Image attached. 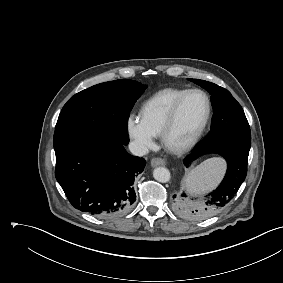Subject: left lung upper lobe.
<instances>
[{"label": "left lung upper lobe", "mask_w": 283, "mask_h": 283, "mask_svg": "<svg viewBox=\"0 0 283 283\" xmlns=\"http://www.w3.org/2000/svg\"><path fill=\"white\" fill-rule=\"evenodd\" d=\"M211 94V131L199 144L203 147H235L250 150L251 132L241 105L231 93L208 81L189 79Z\"/></svg>", "instance_id": "left-lung-upper-lobe-1"}]
</instances>
